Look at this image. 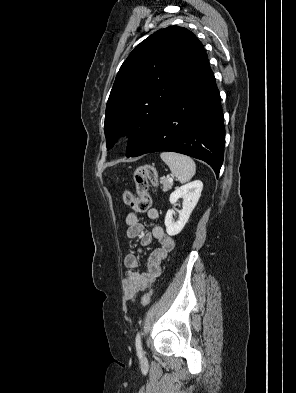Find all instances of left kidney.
Here are the masks:
<instances>
[{
  "instance_id": "1",
  "label": "left kidney",
  "mask_w": 296,
  "mask_h": 393,
  "mask_svg": "<svg viewBox=\"0 0 296 393\" xmlns=\"http://www.w3.org/2000/svg\"><path fill=\"white\" fill-rule=\"evenodd\" d=\"M203 189V183L200 180H195L187 183L181 187L176 188L170 195V203L175 204L178 199L183 198V208L179 212V219L173 220V210H168L165 216L166 232L170 236L179 234L187 223L193 209L197 205L201 192Z\"/></svg>"
}]
</instances>
